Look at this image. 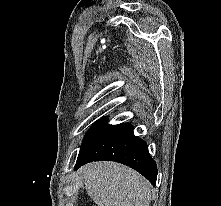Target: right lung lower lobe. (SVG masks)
<instances>
[{
  "label": "right lung lower lobe",
  "mask_w": 221,
  "mask_h": 206,
  "mask_svg": "<svg viewBox=\"0 0 221 206\" xmlns=\"http://www.w3.org/2000/svg\"><path fill=\"white\" fill-rule=\"evenodd\" d=\"M116 161L125 164L156 185L157 166L147 144L133 134V126L122 123L111 126L77 159L75 169L93 161Z\"/></svg>",
  "instance_id": "obj_1"
}]
</instances>
